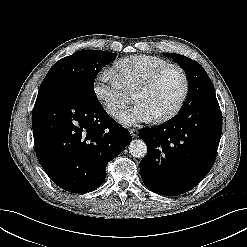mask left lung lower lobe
Wrapping results in <instances>:
<instances>
[{"instance_id": "left-lung-lower-lobe-1", "label": "left lung lower lobe", "mask_w": 247, "mask_h": 247, "mask_svg": "<svg viewBox=\"0 0 247 247\" xmlns=\"http://www.w3.org/2000/svg\"><path fill=\"white\" fill-rule=\"evenodd\" d=\"M222 133L218 101L193 105L170 120L140 130L148 152L140 162L144 184L177 196L193 189L210 171Z\"/></svg>"}]
</instances>
